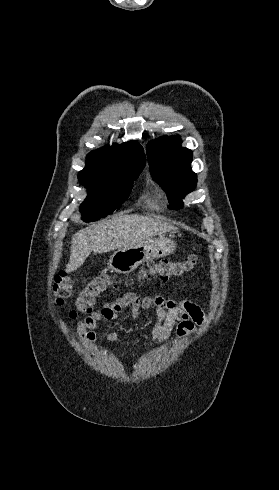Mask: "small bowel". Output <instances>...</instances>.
I'll return each instance as SVG.
<instances>
[{
	"label": "small bowel",
	"mask_w": 279,
	"mask_h": 490,
	"mask_svg": "<svg viewBox=\"0 0 279 490\" xmlns=\"http://www.w3.org/2000/svg\"><path fill=\"white\" fill-rule=\"evenodd\" d=\"M129 309L134 317L141 310L153 309L156 323L152 330L153 344H161L172 332L179 338H186L197 331L205 316L201 308L190 300H175L159 295L141 296L130 292L111 302L101 309L93 311L83 321L76 325V333L85 344L96 341L95 329L102 321H114L125 310ZM109 343L116 347L118 340L115 334L108 337Z\"/></svg>",
	"instance_id": "small-bowel-1"
}]
</instances>
